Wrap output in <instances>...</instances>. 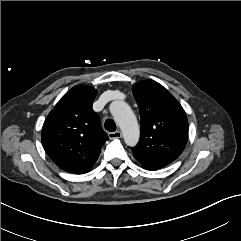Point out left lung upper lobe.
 Returning <instances> with one entry per match:
<instances>
[{"instance_id":"obj_1","label":"left lung upper lobe","mask_w":241,"mask_h":241,"mask_svg":"<svg viewBox=\"0 0 241 241\" xmlns=\"http://www.w3.org/2000/svg\"><path fill=\"white\" fill-rule=\"evenodd\" d=\"M133 94L141 116V137L132 151L144 169L155 171L183 152L188 139L186 113L156 81L138 82L133 86Z\"/></svg>"}]
</instances>
